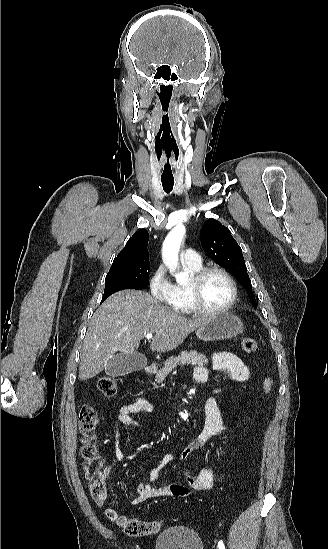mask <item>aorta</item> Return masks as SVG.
<instances>
[{"mask_svg":"<svg viewBox=\"0 0 328 549\" xmlns=\"http://www.w3.org/2000/svg\"><path fill=\"white\" fill-rule=\"evenodd\" d=\"M185 234V227L182 224L177 225L166 237L163 244L164 261L169 266H176L178 263V254L180 245ZM187 278V274L181 272L176 275V280L182 282Z\"/></svg>","mask_w":328,"mask_h":549,"instance_id":"762f6f07","label":"aorta"}]
</instances>
